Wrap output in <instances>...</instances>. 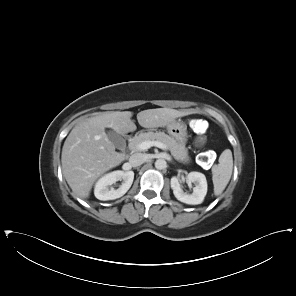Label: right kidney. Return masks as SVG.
<instances>
[{"instance_id": "right-kidney-1", "label": "right kidney", "mask_w": 296, "mask_h": 296, "mask_svg": "<svg viewBox=\"0 0 296 296\" xmlns=\"http://www.w3.org/2000/svg\"><path fill=\"white\" fill-rule=\"evenodd\" d=\"M123 180L118 189L109 188L112 184ZM134 180L133 171H113L102 176L95 184L94 195L102 201L114 200L122 197L131 187Z\"/></svg>"}]
</instances>
